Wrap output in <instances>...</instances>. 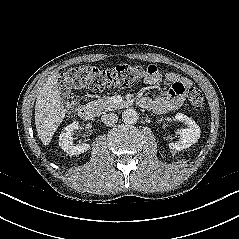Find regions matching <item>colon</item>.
<instances>
[{"mask_svg":"<svg viewBox=\"0 0 239 239\" xmlns=\"http://www.w3.org/2000/svg\"><path fill=\"white\" fill-rule=\"evenodd\" d=\"M143 68L137 65L122 64L109 69L94 66H77L68 69L60 76V90L66 110L73 114L77 109V99L74 91L90 88L103 90L111 87H131L137 84L143 76ZM187 99L196 112L204 109L202 92L195 87L187 91Z\"/></svg>","mask_w":239,"mask_h":239,"instance_id":"5ec220e1","label":"colon"}]
</instances>
